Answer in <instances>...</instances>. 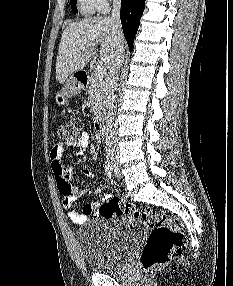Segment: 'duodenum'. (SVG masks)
Returning <instances> with one entry per match:
<instances>
[{
    "mask_svg": "<svg viewBox=\"0 0 233 286\" xmlns=\"http://www.w3.org/2000/svg\"><path fill=\"white\" fill-rule=\"evenodd\" d=\"M77 81L82 86H87L89 83V74L85 71L79 72L77 75ZM95 128L100 135H104L106 131L105 122L102 118L96 121Z\"/></svg>",
    "mask_w": 233,
    "mask_h": 286,
    "instance_id": "410a0bca",
    "label": "duodenum"
}]
</instances>
